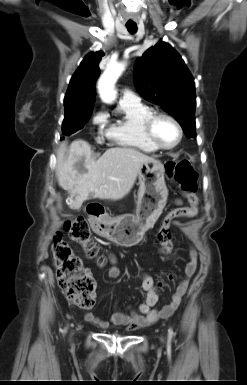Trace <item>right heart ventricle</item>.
Segmentation results:
<instances>
[{
	"instance_id": "e07e8e85",
	"label": "right heart ventricle",
	"mask_w": 247,
	"mask_h": 385,
	"mask_svg": "<svg viewBox=\"0 0 247 385\" xmlns=\"http://www.w3.org/2000/svg\"><path fill=\"white\" fill-rule=\"evenodd\" d=\"M152 109L138 103H120V116L108 128L107 138L116 145L129 147L142 152L153 153L158 149L145 135L143 124Z\"/></svg>"
}]
</instances>
